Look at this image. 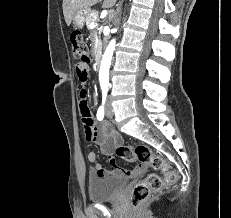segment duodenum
I'll return each mask as SVG.
<instances>
[{"mask_svg": "<svg viewBox=\"0 0 231 218\" xmlns=\"http://www.w3.org/2000/svg\"><path fill=\"white\" fill-rule=\"evenodd\" d=\"M101 63V52L98 50L94 56V64L98 68Z\"/></svg>", "mask_w": 231, "mask_h": 218, "instance_id": "410a0bca", "label": "duodenum"}]
</instances>
